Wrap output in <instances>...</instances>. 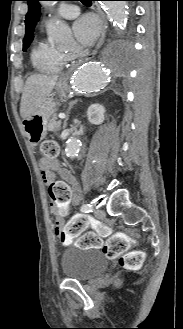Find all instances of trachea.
I'll list each match as a JSON object with an SVG mask.
<instances>
[{
    "mask_svg": "<svg viewBox=\"0 0 183 329\" xmlns=\"http://www.w3.org/2000/svg\"><path fill=\"white\" fill-rule=\"evenodd\" d=\"M81 1L84 5H90L91 4V0H79Z\"/></svg>",
    "mask_w": 183,
    "mask_h": 329,
    "instance_id": "1",
    "label": "trachea"
}]
</instances>
